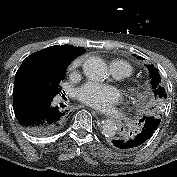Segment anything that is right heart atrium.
<instances>
[{"mask_svg": "<svg viewBox=\"0 0 177 177\" xmlns=\"http://www.w3.org/2000/svg\"><path fill=\"white\" fill-rule=\"evenodd\" d=\"M82 63H83V59H82V58L75 59V60L71 63L69 69H70L71 71H75L78 67H80V66L82 65Z\"/></svg>", "mask_w": 177, "mask_h": 177, "instance_id": "d8ad5b80", "label": "right heart atrium"}]
</instances>
